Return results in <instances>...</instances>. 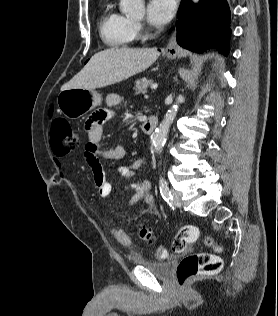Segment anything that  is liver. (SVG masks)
Masks as SVG:
<instances>
[{"label":"liver","instance_id":"liver-1","mask_svg":"<svg viewBox=\"0 0 278 316\" xmlns=\"http://www.w3.org/2000/svg\"><path fill=\"white\" fill-rule=\"evenodd\" d=\"M160 56L157 48H111L93 55L61 90L95 89L118 83L150 67Z\"/></svg>","mask_w":278,"mask_h":316}]
</instances>
